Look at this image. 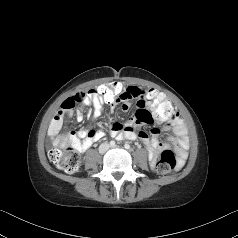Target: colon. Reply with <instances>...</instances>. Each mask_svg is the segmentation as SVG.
<instances>
[{
	"instance_id": "5ec220e1",
	"label": "colon",
	"mask_w": 238,
	"mask_h": 238,
	"mask_svg": "<svg viewBox=\"0 0 238 238\" xmlns=\"http://www.w3.org/2000/svg\"><path fill=\"white\" fill-rule=\"evenodd\" d=\"M122 80H109V84L99 86L96 89V94L102 95L101 99L104 103H118L119 95L122 92ZM89 93V92H88ZM87 96L86 92H78L71 97H68L63 103L64 109H71L76 103L83 101ZM146 97L151 105L147 112L141 113L140 117L143 119H156L159 121H167L174 117L175 110L168 100V96L164 92H158L155 88H150L146 92ZM50 161L60 170L74 174L81 170V158L79 153L72 147L61 150L53 147L49 151ZM178 166V161L173 151L166 149L162 152L160 159L156 165L157 171L161 174H169L173 172Z\"/></svg>"
}]
</instances>
